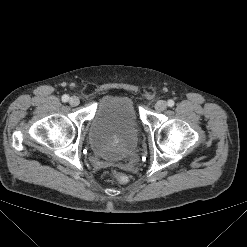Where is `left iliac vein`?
I'll return each instance as SVG.
<instances>
[{"label":"left iliac vein","mask_w":247,"mask_h":247,"mask_svg":"<svg viewBox=\"0 0 247 247\" xmlns=\"http://www.w3.org/2000/svg\"><path fill=\"white\" fill-rule=\"evenodd\" d=\"M167 108V103L163 100H159L155 104V109L157 111H164Z\"/></svg>","instance_id":"4c4485c4"}]
</instances>
